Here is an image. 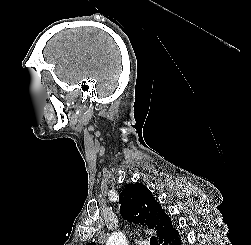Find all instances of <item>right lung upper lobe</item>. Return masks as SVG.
I'll return each mask as SVG.
<instances>
[{
  "instance_id": "right-lung-upper-lobe-1",
  "label": "right lung upper lobe",
  "mask_w": 251,
  "mask_h": 245,
  "mask_svg": "<svg viewBox=\"0 0 251 245\" xmlns=\"http://www.w3.org/2000/svg\"><path fill=\"white\" fill-rule=\"evenodd\" d=\"M119 202L124 220L155 229L160 242H163L175 231L170 217L143 184L126 185L120 194ZM88 245H95V243Z\"/></svg>"
}]
</instances>
